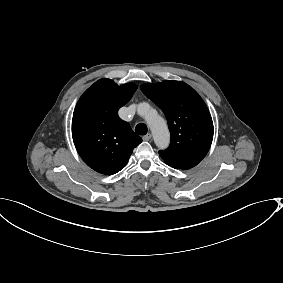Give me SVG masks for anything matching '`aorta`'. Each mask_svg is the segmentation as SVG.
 <instances>
[{"mask_svg": "<svg viewBox=\"0 0 283 283\" xmlns=\"http://www.w3.org/2000/svg\"><path fill=\"white\" fill-rule=\"evenodd\" d=\"M137 111L139 115L146 119L157 147L160 149L166 148L170 142V134L166 121L154 113L148 103H140Z\"/></svg>", "mask_w": 283, "mask_h": 283, "instance_id": "aorta-1", "label": "aorta"}]
</instances>
